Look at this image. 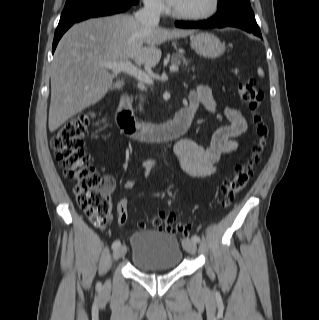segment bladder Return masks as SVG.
I'll list each match as a JSON object with an SVG mask.
<instances>
[{
    "label": "bladder",
    "instance_id": "31cf9c89",
    "mask_svg": "<svg viewBox=\"0 0 319 320\" xmlns=\"http://www.w3.org/2000/svg\"><path fill=\"white\" fill-rule=\"evenodd\" d=\"M131 264L139 271H170L182 262L183 247L173 234L156 229L140 230L130 236Z\"/></svg>",
    "mask_w": 319,
    "mask_h": 320
}]
</instances>
